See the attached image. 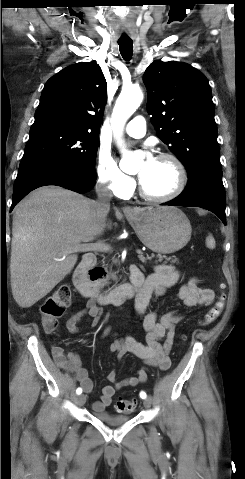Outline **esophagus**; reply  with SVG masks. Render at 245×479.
Returning a JSON list of instances; mask_svg holds the SVG:
<instances>
[{"instance_id":"1","label":"esophagus","mask_w":245,"mask_h":479,"mask_svg":"<svg viewBox=\"0 0 245 479\" xmlns=\"http://www.w3.org/2000/svg\"><path fill=\"white\" fill-rule=\"evenodd\" d=\"M124 213H133V209L130 206H125L123 208Z\"/></svg>"}]
</instances>
